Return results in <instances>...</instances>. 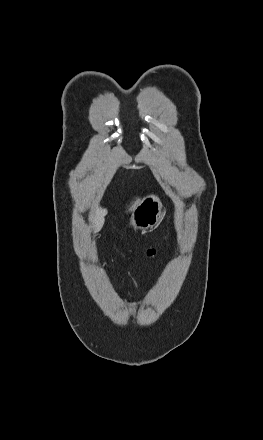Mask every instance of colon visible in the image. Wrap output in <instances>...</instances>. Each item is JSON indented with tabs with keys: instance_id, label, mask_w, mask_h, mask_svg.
Returning a JSON list of instances; mask_svg holds the SVG:
<instances>
[{
	"instance_id": "5ec220e1",
	"label": "colon",
	"mask_w": 263,
	"mask_h": 440,
	"mask_svg": "<svg viewBox=\"0 0 263 440\" xmlns=\"http://www.w3.org/2000/svg\"><path fill=\"white\" fill-rule=\"evenodd\" d=\"M156 252H157L156 248L151 247L147 250L146 254L148 257H153L155 256Z\"/></svg>"
}]
</instances>
